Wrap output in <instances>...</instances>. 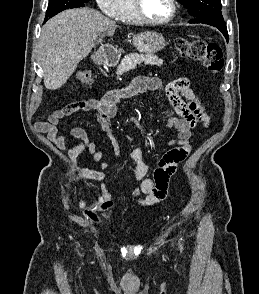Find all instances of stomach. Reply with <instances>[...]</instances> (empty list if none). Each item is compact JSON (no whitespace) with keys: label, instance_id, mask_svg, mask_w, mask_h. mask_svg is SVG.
Segmentation results:
<instances>
[{"label":"stomach","instance_id":"0dacf381","mask_svg":"<svg viewBox=\"0 0 259 294\" xmlns=\"http://www.w3.org/2000/svg\"><path fill=\"white\" fill-rule=\"evenodd\" d=\"M134 48L145 54H152L162 50L166 46L164 37L153 31L143 32L133 37Z\"/></svg>","mask_w":259,"mask_h":294}]
</instances>
